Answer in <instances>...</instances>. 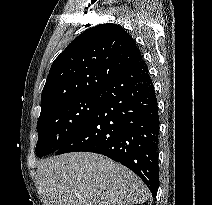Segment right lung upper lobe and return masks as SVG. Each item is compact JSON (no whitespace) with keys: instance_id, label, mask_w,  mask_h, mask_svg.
<instances>
[{"instance_id":"1","label":"right lung upper lobe","mask_w":212,"mask_h":205,"mask_svg":"<svg viewBox=\"0 0 212 205\" xmlns=\"http://www.w3.org/2000/svg\"><path fill=\"white\" fill-rule=\"evenodd\" d=\"M141 60L135 41L121 26L107 23L86 30L54 60L41 95V114L72 98L101 91Z\"/></svg>"}]
</instances>
